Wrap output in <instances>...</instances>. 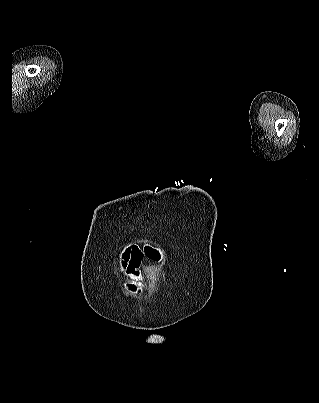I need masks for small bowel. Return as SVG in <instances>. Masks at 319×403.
Masks as SVG:
<instances>
[{
	"instance_id": "c3829d8e",
	"label": "small bowel",
	"mask_w": 319,
	"mask_h": 403,
	"mask_svg": "<svg viewBox=\"0 0 319 403\" xmlns=\"http://www.w3.org/2000/svg\"><path fill=\"white\" fill-rule=\"evenodd\" d=\"M144 257H147L153 261L161 260L160 252L153 247H146L140 249L133 247L132 249H127L120 258L121 269L133 280H137L141 275V265ZM132 289H136L137 285L135 283L131 284Z\"/></svg>"
}]
</instances>
